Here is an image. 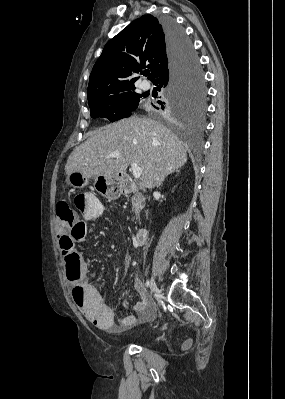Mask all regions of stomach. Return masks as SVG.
Instances as JSON below:
<instances>
[{
	"label": "stomach",
	"instance_id": "obj_1",
	"mask_svg": "<svg viewBox=\"0 0 285 399\" xmlns=\"http://www.w3.org/2000/svg\"><path fill=\"white\" fill-rule=\"evenodd\" d=\"M89 177L81 172L73 171L67 174L66 182L74 188H83L88 184ZM94 187L98 193L110 200L118 199L124 190L122 177L98 176L94 177Z\"/></svg>",
	"mask_w": 285,
	"mask_h": 399
}]
</instances>
